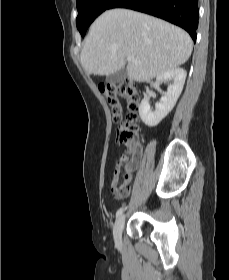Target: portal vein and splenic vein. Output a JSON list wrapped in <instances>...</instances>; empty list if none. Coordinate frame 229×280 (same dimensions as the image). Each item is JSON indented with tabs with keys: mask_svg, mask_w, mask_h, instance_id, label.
<instances>
[{
	"mask_svg": "<svg viewBox=\"0 0 229 280\" xmlns=\"http://www.w3.org/2000/svg\"><path fill=\"white\" fill-rule=\"evenodd\" d=\"M127 60L129 62H135V63H140L139 61L135 60V58L133 56H127Z\"/></svg>",
	"mask_w": 229,
	"mask_h": 280,
	"instance_id": "portal-vein-and-splenic-vein-1",
	"label": "portal vein and splenic vein"
}]
</instances>
